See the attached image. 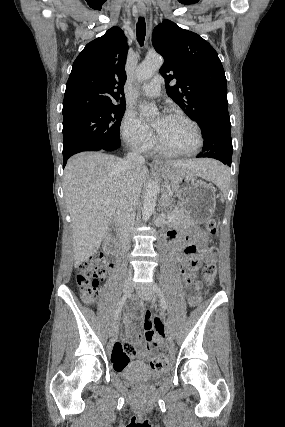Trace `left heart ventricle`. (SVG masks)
I'll list each match as a JSON object with an SVG mask.
<instances>
[{
    "mask_svg": "<svg viewBox=\"0 0 285 427\" xmlns=\"http://www.w3.org/2000/svg\"><path fill=\"white\" fill-rule=\"evenodd\" d=\"M159 137L172 147L188 151L197 145V136L187 122L173 117H156L153 123Z\"/></svg>",
    "mask_w": 285,
    "mask_h": 427,
    "instance_id": "b2bd125f",
    "label": "left heart ventricle"
}]
</instances>
